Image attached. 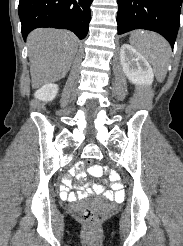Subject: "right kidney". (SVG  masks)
Returning <instances> with one entry per match:
<instances>
[{"instance_id":"obj_1","label":"right kidney","mask_w":183,"mask_h":246,"mask_svg":"<svg viewBox=\"0 0 183 246\" xmlns=\"http://www.w3.org/2000/svg\"><path fill=\"white\" fill-rule=\"evenodd\" d=\"M58 93V85L49 83L38 89L34 96L42 101H52Z\"/></svg>"}]
</instances>
